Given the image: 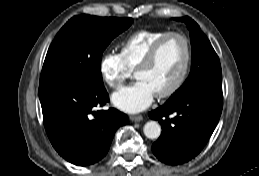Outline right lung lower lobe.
I'll return each instance as SVG.
<instances>
[{
  "mask_svg": "<svg viewBox=\"0 0 259 176\" xmlns=\"http://www.w3.org/2000/svg\"><path fill=\"white\" fill-rule=\"evenodd\" d=\"M44 126L55 150L68 162L87 166L101 160L116 130L128 123L126 114L110 108L104 86L62 81L39 86Z\"/></svg>",
  "mask_w": 259,
  "mask_h": 176,
  "instance_id": "98d812e1",
  "label": "right lung lower lobe"
}]
</instances>
